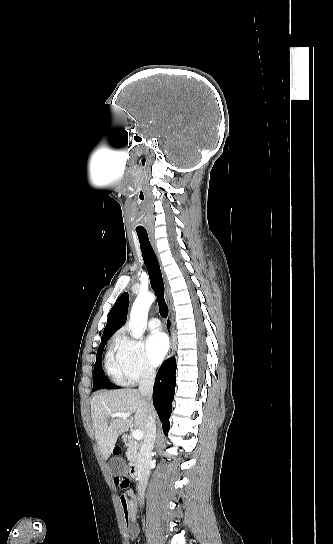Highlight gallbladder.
Returning a JSON list of instances; mask_svg holds the SVG:
<instances>
[{
	"instance_id": "1",
	"label": "gallbladder",
	"mask_w": 333,
	"mask_h": 544,
	"mask_svg": "<svg viewBox=\"0 0 333 544\" xmlns=\"http://www.w3.org/2000/svg\"><path fill=\"white\" fill-rule=\"evenodd\" d=\"M110 470L112 472L113 476H120L122 475L126 470V465L124 461L121 458L114 459L110 464Z\"/></svg>"
}]
</instances>
